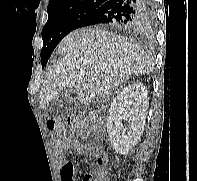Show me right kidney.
I'll use <instances>...</instances> for the list:
<instances>
[{
  "instance_id": "1",
  "label": "right kidney",
  "mask_w": 197,
  "mask_h": 181,
  "mask_svg": "<svg viewBox=\"0 0 197 181\" xmlns=\"http://www.w3.org/2000/svg\"><path fill=\"white\" fill-rule=\"evenodd\" d=\"M148 108L147 89L141 83L126 85L111 103L107 120L109 141L115 151L126 155L144 131ZM129 118L128 131L122 120Z\"/></svg>"
}]
</instances>
